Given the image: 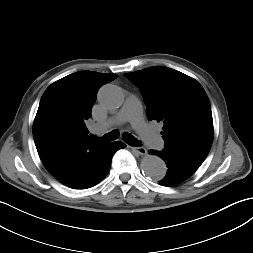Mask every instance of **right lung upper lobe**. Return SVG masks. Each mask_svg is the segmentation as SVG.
<instances>
[{
  "label": "right lung upper lobe",
  "mask_w": 253,
  "mask_h": 253,
  "mask_svg": "<svg viewBox=\"0 0 253 253\" xmlns=\"http://www.w3.org/2000/svg\"><path fill=\"white\" fill-rule=\"evenodd\" d=\"M116 74L80 71L44 92L33 124L38 154L51 175L77 189L98 171V155L105 144L88 139L85 123L91 117L98 89Z\"/></svg>",
  "instance_id": "right-lung-upper-lobe-1"
}]
</instances>
